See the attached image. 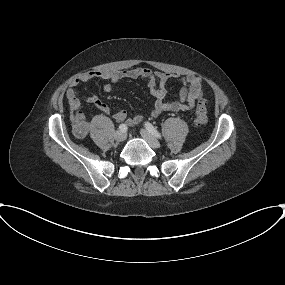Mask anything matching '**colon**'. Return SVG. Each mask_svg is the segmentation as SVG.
I'll return each mask as SVG.
<instances>
[{"label":"colon","instance_id":"obj_1","mask_svg":"<svg viewBox=\"0 0 285 285\" xmlns=\"http://www.w3.org/2000/svg\"><path fill=\"white\" fill-rule=\"evenodd\" d=\"M208 121L207 103L204 99L198 101L195 109V124L199 127L204 126ZM75 135L84 137L87 133V125L85 122H78L74 127Z\"/></svg>","mask_w":285,"mask_h":285}]
</instances>
